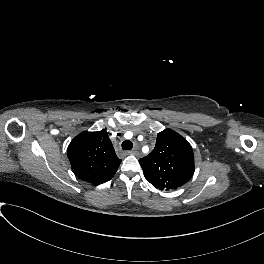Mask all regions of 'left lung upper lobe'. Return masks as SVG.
Returning <instances> with one entry per match:
<instances>
[{"label":"left lung upper lobe","mask_w":264,"mask_h":264,"mask_svg":"<svg viewBox=\"0 0 264 264\" xmlns=\"http://www.w3.org/2000/svg\"><path fill=\"white\" fill-rule=\"evenodd\" d=\"M139 163L147 181L167 191L187 183L195 170L191 145L171 129L158 134L154 150Z\"/></svg>","instance_id":"5c2ea615"}]
</instances>
